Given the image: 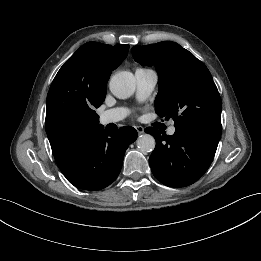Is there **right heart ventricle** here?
I'll return each mask as SVG.
<instances>
[{
	"instance_id": "e07e8e85",
	"label": "right heart ventricle",
	"mask_w": 261,
	"mask_h": 261,
	"mask_svg": "<svg viewBox=\"0 0 261 261\" xmlns=\"http://www.w3.org/2000/svg\"><path fill=\"white\" fill-rule=\"evenodd\" d=\"M137 70H146V69H144V68H139V69H137Z\"/></svg>"
}]
</instances>
